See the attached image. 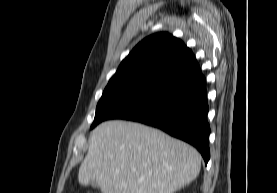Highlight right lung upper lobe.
I'll return each mask as SVG.
<instances>
[{
	"label": "right lung upper lobe",
	"mask_w": 277,
	"mask_h": 193,
	"mask_svg": "<svg viewBox=\"0 0 277 193\" xmlns=\"http://www.w3.org/2000/svg\"><path fill=\"white\" fill-rule=\"evenodd\" d=\"M200 70L192 51L169 33L142 40L122 61L105 89L153 92Z\"/></svg>",
	"instance_id": "1"
}]
</instances>
